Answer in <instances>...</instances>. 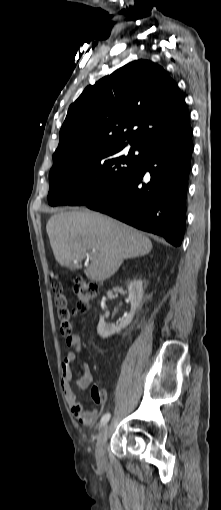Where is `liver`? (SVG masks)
<instances>
[{
  "instance_id": "6515ba94",
  "label": "liver",
  "mask_w": 221,
  "mask_h": 510,
  "mask_svg": "<svg viewBox=\"0 0 221 510\" xmlns=\"http://www.w3.org/2000/svg\"><path fill=\"white\" fill-rule=\"evenodd\" d=\"M46 231L56 261L68 267L89 256L85 274L92 281L113 276L125 259L148 254L152 242L140 231L92 211H61L50 217ZM95 249L96 252H92Z\"/></svg>"
}]
</instances>
